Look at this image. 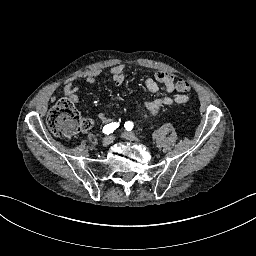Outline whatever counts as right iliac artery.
<instances>
[{
  "label": "right iliac artery",
  "instance_id": "82829eb1",
  "mask_svg": "<svg viewBox=\"0 0 256 256\" xmlns=\"http://www.w3.org/2000/svg\"><path fill=\"white\" fill-rule=\"evenodd\" d=\"M118 126H119V123H116V122L113 123V122H112V123L107 124V125L104 126L103 132H104L105 134L109 135L110 133H113V131H114L116 128H118Z\"/></svg>",
  "mask_w": 256,
  "mask_h": 256
}]
</instances>
